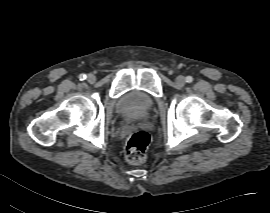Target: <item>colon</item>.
I'll return each mask as SVG.
<instances>
[{
    "mask_svg": "<svg viewBox=\"0 0 270 213\" xmlns=\"http://www.w3.org/2000/svg\"><path fill=\"white\" fill-rule=\"evenodd\" d=\"M150 143V136L146 131L131 133L125 144L124 155L129 164L137 165L144 161Z\"/></svg>",
    "mask_w": 270,
    "mask_h": 213,
    "instance_id": "obj_1",
    "label": "colon"
}]
</instances>
